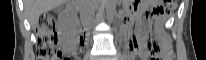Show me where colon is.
I'll use <instances>...</instances> for the list:
<instances>
[{"label": "colon", "instance_id": "5ec220e1", "mask_svg": "<svg viewBox=\"0 0 206 60\" xmlns=\"http://www.w3.org/2000/svg\"><path fill=\"white\" fill-rule=\"evenodd\" d=\"M164 4L154 10L155 14L164 15L169 13L176 1L165 0ZM146 47L152 60H169L173 51L169 41L162 37L159 41L149 38ZM37 57L39 60H60L63 59L57 48V38L54 29L53 19L48 13L39 17L37 28Z\"/></svg>", "mask_w": 206, "mask_h": 60}]
</instances>
